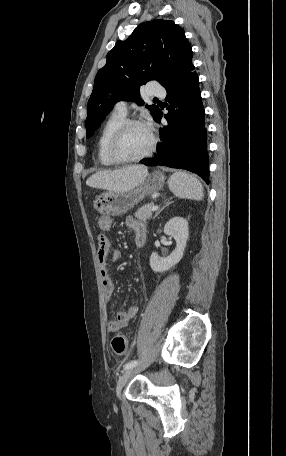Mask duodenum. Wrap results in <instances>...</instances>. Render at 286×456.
Wrapping results in <instances>:
<instances>
[{
    "label": "duodenum",
    "mask_w": 286,
    "mask_h": 456,
    "mask_svg": "<svg viewBox=\"0 0 286 456\" xmlns=\"http://www.w3.org/2000/svg\"><path fill=\"white\" fill-rule=\"evenodd\" d=\"M146 242V236L141 234L139 237L136 238L135 243L137 247H142Z\"/></svg>",
    "instance_id": "obj_1"
}]
</instances>
